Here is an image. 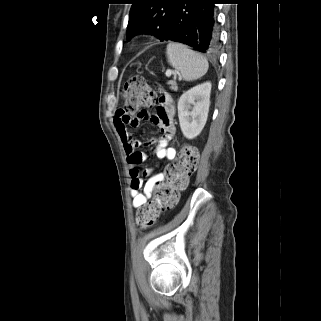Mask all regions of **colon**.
Masks as SVG:
<instances>
[{"label":"colon","instance_id":"5ec220e1","mask_svg":"<svg viewBox=\"0 0 321 321\" xmlns=\"http://www.w3.org/2000/svg\"><path fill=\"white\" fill-rule=\"evenodd\" d=\"M123 96V111L131 114L158 100L152 85L141 76L133 77L125 84ZM198 162L199 153L196 147L183 145L180 148L175 162L166 170L167 182L159 184L154 198L139 208L136 215L139 228L151 227L165 211L177 204L180 192L186 188L190 176L198 167Z\"/></svg>","mask_w":321,"mask_h":321}]
</instances>
